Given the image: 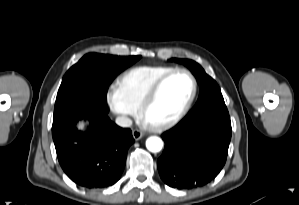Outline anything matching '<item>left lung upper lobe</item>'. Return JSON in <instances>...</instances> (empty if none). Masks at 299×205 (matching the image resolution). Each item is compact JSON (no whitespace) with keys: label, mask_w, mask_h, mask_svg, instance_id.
<instances>
[{"label":"left lung upper lobe","mask_w":299,"mask_h":205,"mask_svg":"<svg viewBox=\"0 0 299 205\" xmlns=\"http://www.w3.org/2000/svg\"><path fill=\"white\" fill-rule=\"evenodd\" d=\"M189 67L200 85V95L196 105L188 113L189 115H199L204 111L226 107L221 90L216 81L205 73L203 68L196 62L188 59H171Z\"/></svg>","instance_id":"5c2ea615"}]
</instances>
